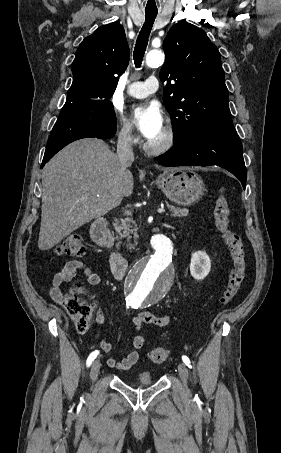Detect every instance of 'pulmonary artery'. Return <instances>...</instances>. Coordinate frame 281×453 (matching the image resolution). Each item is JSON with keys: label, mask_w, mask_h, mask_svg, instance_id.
<instances>
[{"label": "pulmonary artery", "mask_w": 281, "mask_h": 453, "mask_svg": "<svg viewBox=\"0 0 281 453\" xmlns=\"http://www.w3.org/2000/svg\"><path fill=\"white\" fill-rule=\"evenodd\" d=\"M159 82L155 77H149L146 81L133 82L127 87L128 95L135 98H143L158 89Z\"/></svg>", "instance_id": "e3ab8cb5"}]
</instances>
